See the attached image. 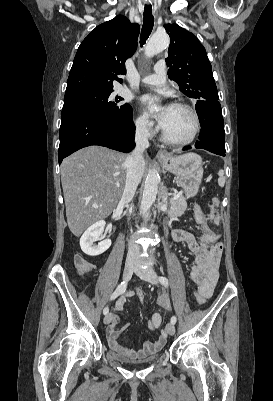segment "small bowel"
Wrapping results in <instances>:
<instances>
[{
	"mask_svg": "<svg viewBox=\"0 0 273 401\" xmlns=\"http://www.w3.org/2000/svg\"><path fill=\"white\" fill-rule=\"evenodd\" d=\"M198 223L205 224L207 217L200 215L197 218ZM211 224H218L220 218L218 215H211L209 218ZM174 236L179 237L180 241L187 246V248L194 254L195 263L191 267L190 271H204L208 277L207 284H196L197 301L202 304L208 299L216 288L218 282V266L222 256L223 246L218 240V235L208 228V224H205L204 235L197 240L191 233L186 232L184 228H176L173 231ZM139 294L137 289L133 295ZM94 298L97 299L98 304H109V295H102L101 291L96 290L93 293ZM124 303H117L115 306V314L112 316L111 322L107 328V339L110 347L123 355H136L143 357L147 355L156 354L164 345L167 339L165 332L158 334V339L153 342L145 344L142 350L138 352H129L120 342V336L127 330V326L121 324V317L118 314L123 311ZM167 309V308H165ZM162 323V315L160 312L154 313L152 318L148 321V327L152 331L160 329Z\"/></svg>",
	"mask_w": 273,
	"mask_h": 401,
	"instance_id": "1",
	"label": "small bowel"
}]
</instances>
